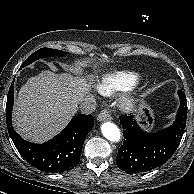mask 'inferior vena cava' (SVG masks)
<instances>
[{"label": "inferior vena cava", "mask_w": 194, "mask_h": 194, "mask_svg": "<svg viewBox=\"0 0 194 194\" xmlns=\"http://www.w3.org/2000/svg\"><path fill=\"white\" fill-rule=\"evenodd\" d=\"M79 109L84 114H91L96 109V99L93 96L83 98L79 103Z\"/></svg>", "instance_id": "inferior-vena-cava-1"}]
</instances>
